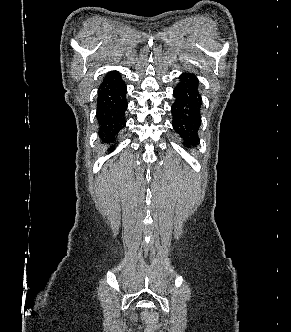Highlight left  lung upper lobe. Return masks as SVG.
Returning <instances> with one entry per match:
<instances>
[{"mask_svg": "<svg viewBox=\"0 0 291 332\" xmlns=\"http://www.w3.org/2000/svg\"><path fill=\"white\" fill-rule=\"evenodd\" d=\"M184 145H187L188 147H190L187 143H185Z\"/></svg>", "mask_w": 291, "mask_h": 332, "instance_id": "5c2ea615", "label": "left lung upper lobe"}]
</instances>
